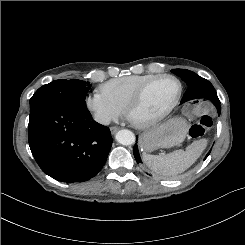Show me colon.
Here are the masks:
<instances>
[{
  "instance_id": "1",
  "label": "colon",
  "mask_w": 245,
  "mask_h": 245,
  "mask_svg": "<svg viewBox=\"0 0 245 245\" xmlns=\"http://www.w3.org/2000/svg\"><path fill=\"white\" fill-rule=\"evenodd\" d=\"M212 124L210 116L200 115L198 121L190 128V137L194 139L202 137L212 127Z\"/></svg>"
}]
</instances>
